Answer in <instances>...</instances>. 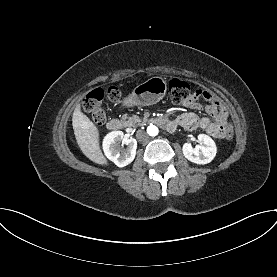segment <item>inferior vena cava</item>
Segmentation results:
<instances>
[{"label":"inferior vena cava","mask_w":277,"mask_h":277,"mask_svg":"<svg viewBox=\"0 0 277 277\" xmlns=\"http://www.w3.org/2000/svg\"><path fill=\"white\" fill-rule=\"evenodd\" d=\"M136 137L140 142H147L149 140V136L144 130H138Z\"/></svg>","instance_id":"obj_1"}]
</instances>
